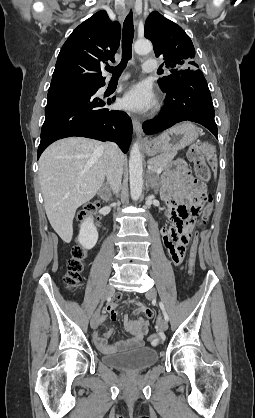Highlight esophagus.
<instances>
[{"label":"esophagus","mask_w":255,"mask_h":418,"mask_svg":"<svg viewBox=\"0 0 255 418\" xmlns=\"http://www.w3.org/2000/svg\"><path fill=\"white\" fill-rule=\"evenodd\" d=\"M133 5V0H128V6H132ZM132 124H133V129L136 133V135L141 139V141H145L144 138H142V124L141 121L135 117L132 118Z\"/></svg>","instance_id":"obj_1"}]
</instances>
